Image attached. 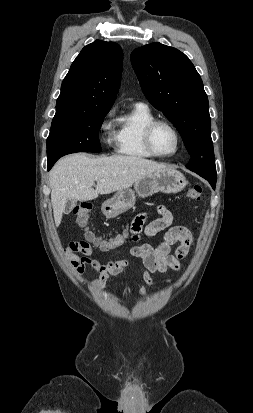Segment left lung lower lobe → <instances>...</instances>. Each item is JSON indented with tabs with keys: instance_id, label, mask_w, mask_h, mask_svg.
Here are the masks:
<instances>
[{
	"instance_id": "obj_1",
	"label": "left lung lower lobe",
	"mask_w": 253,
	"mask_h": 413,
	"mask_svg": "<svg viewBox=\"0 0 253 413\" xmlns=\"http://www.w3.org/2000/svg\"><path fill=\"white\" fill-rule=\"evenodd\" d=\"M199 175L202 176L203 178H205L206 180H208V182L211 184L212 188L215 189L216 176L204 175V174H199Z\"/></svg>"
}]
</instances>
